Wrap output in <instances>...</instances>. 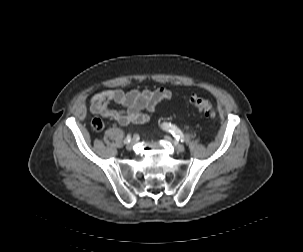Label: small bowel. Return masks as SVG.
Listing matches in <instances>:
<instances>
[{
  "instance_id": "1",
  "label": "small bowel",
  "mask_w": 303,
  "mask_h": 252,
  "mask_svg": "<svg viewBox=\"0 0 303 252\" xmlns=\"http://www.w3.org/2000/svg\"><path fill=\"white\" fill-rule=\"evenodd\" d=\"M172 92L165 87L154 90L106 89L94 94L90 100L92 113L108 118L121 125L142 124L147 122L154 113L157 105L164 100H170ZM111 103L125 106L124 111L110 108ZM146 112H143V111Z\"/></svg>"
}]
</instances>
